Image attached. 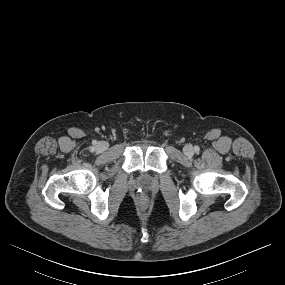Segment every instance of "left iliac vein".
<instances>
[{"label": "left iliac vein", "instance_id": "1", "mask_svg": "<svg viewBox=\"0 0 285 285\" xmlns=\"http://www.w3.org/2000/svg\"><path fill=\"white\" fill-rule=\"evenodd\" d=\"M183 151H184V153H185L187 156H191V155H193V153H194L193 147H192L191 145H186V146L183 148Z\"/></svg>", "mask_w": 285, "mask_h": 285}]
</instances>
